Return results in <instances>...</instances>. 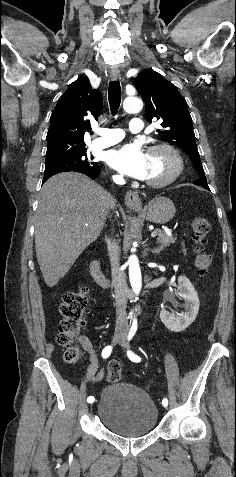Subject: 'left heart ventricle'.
<instances>
[{
    "label": "left heart ventricle",
    "instance_id": "obj_1",
    "mask_svg": "<svg viewBox=\"0 0 236 477\" xmlns=\"http://www.w3.org/2000/svg\"><path fill=\"white\" fill-rule=\"evenodd\" d=\"M173 159L164 151L148 153L147 180H160L167 177L173 170Z\"/></svg>",
    "mask_w": 236,
    "mask_h": 477
}]
</instances>
